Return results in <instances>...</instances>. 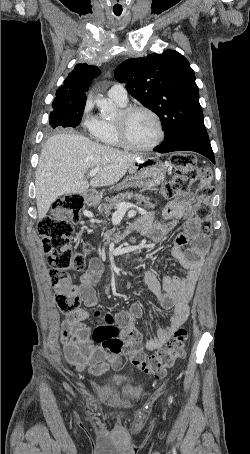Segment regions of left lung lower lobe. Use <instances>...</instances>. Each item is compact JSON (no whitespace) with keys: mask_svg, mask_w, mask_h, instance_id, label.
Instances as JSON below:
<instances>
[{"mask_svg":"<svg viewBox=\"0 0 250 454\" xmlns=\"http://www.w3.org/2000/svg\"><path fill=\"white\" fill-rule=\"evenodd\" d=\"M154 150L159 153L172 151H194L206 156L213 163H215L209 137L204 126L188 131L175 141L160 144Z\"/></svg>","mask_w":250,"mask_h":454,"instance_id":"1","label":"left lung lower lobe"}]
</instances>
